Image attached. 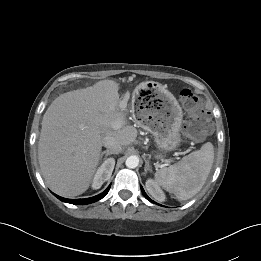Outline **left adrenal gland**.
Returning <instances> with one entry per match:
<instances>
[{"mask_svg":"<svg viewBox=\"0 0 261 261\" xmlns=\"http://www.w3.org/2000/svg\"><path fill=\"white\" fill-rule=\"evenodd\" d=\"M144 171H145V173H144V174H146L148 171H149V172H152V169H151V166H150V164H149V161H148V160H145V167H144Z\"/></svg>","mask_w":261,"mask_h":261,"instance_id":"a2214340","label":"left adrenal gland"}]
</instances>
